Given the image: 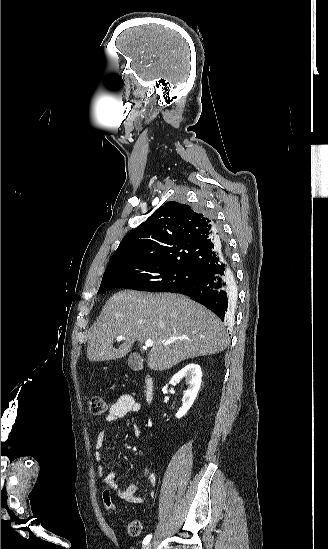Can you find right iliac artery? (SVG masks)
I'll return each mask as SVG.
<instances>
[{"label": "right iliac artery", "mask_w": 328, "mask_h": 549, "mask_svg": "<svg viewBox=\"0 0 328 549\" xmlns=\"http://www.w3.org/2000/svg\"><path fill=\"white\" fill-rule=\"evenodd\" d=\"M151 538H152V535H151V534H150V535H147V536L144 538V540H143V544L146 545V544L151 540Z\"/></svg>", "instance_id": "right-iliac-artery-1"}]
</instances>
